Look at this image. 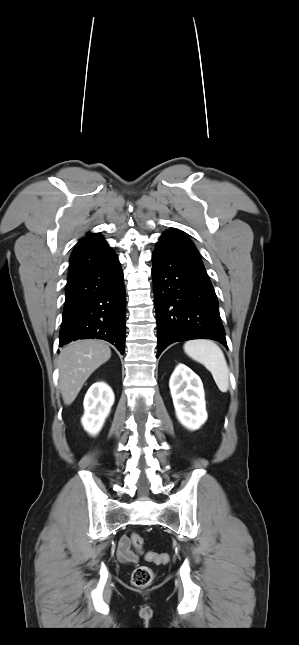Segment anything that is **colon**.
I'll return each instance as SVG.
<instances>
[{"mask_svg":"<svg viewBox=\"0 0 299 645\" xmlns=\"http://www.w3.org/2000/svg\"><path fill=\"white\" fill-rule=\"evenodd\" d=\"M130 539L134 550L140 554L144 543L143 538L139 534L133 533ZM146 559L151 562L164 564L169 561V555L167 553L149 552L146 555ZM153 577V571L149 567L138 566L132 572L131 582L136 587L145 588L151 584Z\"/></svg>","mask_w":299,"mask_h":645,"instance_id":"1","label":"colon"}]
</instances>
